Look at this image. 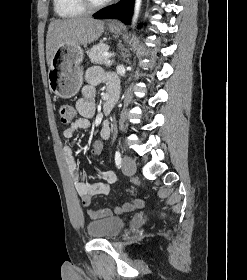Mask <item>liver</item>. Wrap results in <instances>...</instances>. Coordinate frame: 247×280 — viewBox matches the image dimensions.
<instances>
[{
  "instance_id": "6515ba94",
  "label": "liver",
  "mask_w": 247,
  "mask_h": 280,
  "mask_svg": "<svg viewBox=\"0 0 247 280\" xmlns=\"http://www.w3.org/2000/svg\"><path fill=\"white\" fill-rule=\"evenodd\" d=\"M105 23L88 17L58 19L50 23L46 36V59L50 67L56 50L64 45H86L96 41Z\"/></svg>"
}]
</instances>
